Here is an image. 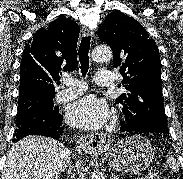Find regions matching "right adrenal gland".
Masks as SVG:
<instances>
[{"instance_id":"right-adrenal-gland-1","label":"right adrenal gland","mask_w":183,"mask_h":179,"mask_svg":"<svg viewBox=\"0 0 183 179\" xmlns=\"http://www.w3.org/2000/svg\"><path fill=\"white\" fill-rule=\"evenodd\" d=\"M67 173H68V175H67L68 179H70V178L75 179V175H76L75 174V168H74L72 162H70L69 165H68Z\"/></svg>"}]
</instances>
